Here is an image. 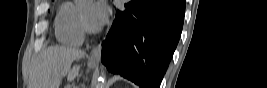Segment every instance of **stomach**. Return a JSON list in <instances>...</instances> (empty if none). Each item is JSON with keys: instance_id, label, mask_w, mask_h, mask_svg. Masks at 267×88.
Returning a JSON list of instances; mask_svg holds the SVG:
<instances>
[{"instance_id": "1", "label": "stomach", "mask_w": 267, "mask_h": 88, "mask_svg": "<svg viewBox=\"0 0 267 88\" xmlns=\"http://www.w3.org/2000/svg\"><path fill=\"white\" fill-rule=\"evenodd\" d=\"M94 66H95V64H94V63L90 64V67H92V68H93Z\"/></svg>"}]
</instances>
